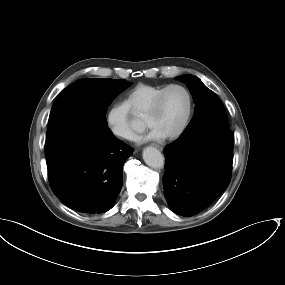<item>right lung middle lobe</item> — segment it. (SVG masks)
Masks as SVG:
<instances>
[{
    "mask_svg": "<svg viewBox=\"0 0 285 285\" xmlns=\"http://www.w3.org/2000/svg\"><path fill=\"white\" fill-rule=\"evenodd\" d=\"M130 83L116 79H80L66 87L56 98L49 116L47 139L70 121L90 116L107 124L105 114L113 99Z\"/></svg>",
    "mask_w": 285,
    "mask_h": 285,
    "instance_id": "right-lung-middle-lobe-1",
    "label": "right lung middle lobe"
}]
</instances>
